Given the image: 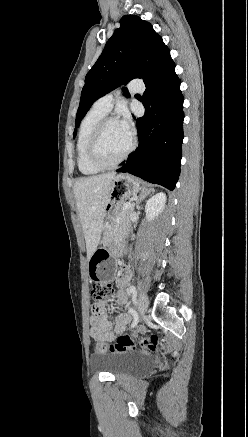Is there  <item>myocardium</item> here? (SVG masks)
<instances>
[{
    "label": "myocardium",
    "mask_w": 248,
    "mask_h": 437,
    "mask_svg": "<svg viewBox=\"0 0 248 437\" xmlns=\"http://www.w3.org/2000/svg\"><path fill=\"white\" fill-rule=\"evenodd\" d=\"M111 122H118V121L113 117H104L103 119H101L97 124V126L95 127L88 144L89 160L95 167L101 170L112 169L117 165H119L130 155V153L134 150L136 146V142L134 138L131 137L128 148L123 152V154L119 158H117L115 161L110 163L103 161L99 155V145L106 126Z\"/></svg>",
    "instance_id": "f54148a6"
}]
</instances>
